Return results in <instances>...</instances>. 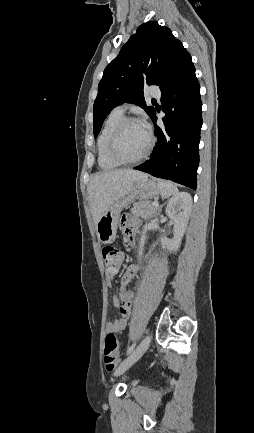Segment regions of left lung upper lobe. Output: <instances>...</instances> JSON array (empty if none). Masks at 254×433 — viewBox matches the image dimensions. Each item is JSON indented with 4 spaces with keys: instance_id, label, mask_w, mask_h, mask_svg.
Returning <instances> with one entry per match:
<instances>
[{
    "instance_id": "obj_1",
    "label": "left lung upper lobe",
    "mask_w": 254,
    "mask_h": 433,
    "mask_svg": "<svg viewBox=\"0 0 254 433\" xmlns=\"http://www.w3.org/2000/svg\"><path fill=\"white\" fill-rule=\"evenodd\" d=\"M186 52L169 28L156 21L140 25L104 70L93 107L94 136L111 110L124 102L142 107L151 118L155 109L145 104L144 86L161 87Z\"/></svg>"
}]
</instances>
